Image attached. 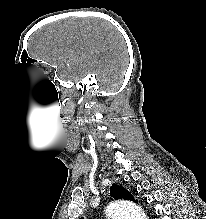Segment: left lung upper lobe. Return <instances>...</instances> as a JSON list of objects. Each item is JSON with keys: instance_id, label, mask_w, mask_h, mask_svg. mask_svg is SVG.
I'll return each mask as SVG.
<instances>
[{"instance_id": "left-lung-upper-lobe-1", "label": "left lung upper lobe", "mask_w": 206, "mask_h": 219, "mask_svg": "<svg viewBox=\"0 0 206 219\" xmlns=\"http://www.w3.org/2000/svg\"><path fill=\"white\" fill-rule=\"evenodd\" d=\"M110 195L114 199H125V200H130V201L136 202L133 195L128 190H126L124 187L119 186V185L114 184L110 187ZM81 219H83V218H81Z\"/></svg>"}]
</instances>
